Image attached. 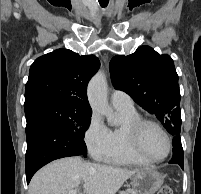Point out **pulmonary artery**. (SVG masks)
Listing matches in <instances>:
<instances>
[{"mask_svg": "<svg viewBox=\"0 0 201 194\" xmlns=\"http://www.w3.org/2000/svg\"><path fill=\"white\" fill-rule=\"evenodd\" d=\"M111 103L114 107L120 108H134L131 97L123 91L115 90L111 94Z\"/></svg>", "mask_w": 201, "mask_h": 194, "instance_id": "pulmonary-artery-1", "label": "pulmonary artery"}]
</instances>
